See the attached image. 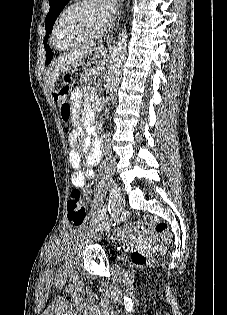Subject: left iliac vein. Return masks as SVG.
<instances>
[{"label": "left iliac vein", "instance_id": "4c4485c4", "mask_svg": "<svg viewBox=\"0 0 227 315\" xmlns=\"http://www.w3.org/2000/svg\"><path fill=\"white\" fill-rule=\"evenodd\" d=\"M114 191L116 193L115 203L113 205L111 214L108 217H106L100 224L99 228L100 233H104L105 231L108 230V228L112 224V221L120 215L125 206V199L121 193L119 185L117 184L114 185Z\"/></svg>", "mask_w": 227, "mask_h": 315}]
</instances>
